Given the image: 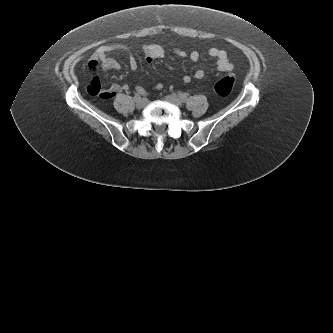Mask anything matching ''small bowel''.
<instances>
[{"mask_svg":"<svg viewBox=\"0 0 333 333\" xmlns=\"http://www.w3.org/2000/svg\"><path fill=\"white\" fill-rule=\"evenodd\" d=\"M118 50H128L125 45L122 44H111L100 46L92 53L90 60L88 62V69L92 73V81L87 86V91L91 95H99L105 99L112 98L116 96L121 91H128V84H113L108 89L101 91V84L98 77L99 69L102 70H118L120 68L119 63L113 59L110 54ZM145 60L150 63L156 59H160L164 56V49L160 45H147L143 49ZM174 53L181 57L189 59L193 62L198 61L199 53L197 51H192L188 54L186 51L180 48H174ZM208 55L215 59L216 69L221 72H229L233 69V64L229 61L227 53L218 48H211L208 51ZM129 66L132 70L138 69L139 63L135 56L130 55ZM205 76V71L203 69H197L193 76L185 75L182 79L184 84H189L192 80V77L195 79H202ZM157 90L162 89L161 84H157L154 87ZM137 92L144 94L145 90L137 86Z\"/></svg>","mask_w":333,"mask_h":333,"instance_id":"obj_1","label":"small bowel"}]
</instances>
